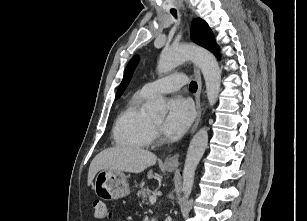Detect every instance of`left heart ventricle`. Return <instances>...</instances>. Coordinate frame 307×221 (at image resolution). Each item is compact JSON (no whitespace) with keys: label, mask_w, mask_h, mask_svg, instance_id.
<instances>
[{"label":"left heart ventricle","mask_w":307,"mask_h":221,"mask_svg":"<svg viewBox=\"0 0 307 221\" xmlns=\"http://www.w3.org/2000/svg\"><path fill=\"white\" fill-rule=\"evenodd\" d=\"M153 120H154L157 124L161 125L162 122H163V117H155V118H153Z\"/></svg>","instance_id":"b2bd125f"}]
</instances>
